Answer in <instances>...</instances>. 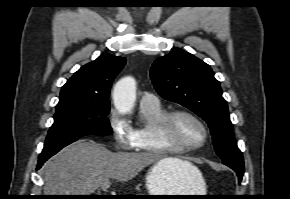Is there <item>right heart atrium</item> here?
I'll list each match as a JSON object with an SVG mask.
<instances>
[{
  "instance_id": "1",
  "label": "right heart atrium",
  "mask_w": 290,
  "mask_h": 199,
  "mask_svg": "<svg viewBox=\"0 0 290 199\" xmlns=\"http://www.w3.org/2000/svg\"><path fill=\"white\" fill-rule=\"evenodd\" d=\"M109 126L118 149L129 150L133 148V129L116 110L110 112Z\"/></svg>"
}]
</instances>
